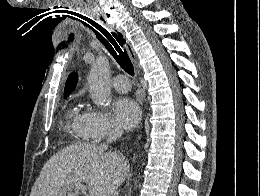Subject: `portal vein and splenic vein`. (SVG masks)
<instances>
[{"label":"portal vein and splenic vein","instance_id":"1","mask_svg":"<svg viewBox=\"0 0 260 196\" xmlns=\"http://www.w3.org/2000/svg\"><path fill=\"white\" fill-rule=\"evenodd\" d=\"M68 190H81V192H85L86 186H82V184H73Z\"/></svg>","mask_w":260,"mask_h":196}]
</instances>
